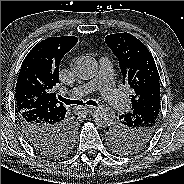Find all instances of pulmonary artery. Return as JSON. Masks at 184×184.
<instances>
[{"mask_svg":"<svg viewBox=\"0 0 184 184\" xmlns=\"http://www.w3.org/2000/svg\"><path fill=\"white\" fill-rule=\"evenodd\" d=\"M113 71V63L107 58L101 59L98 75L93 80L73 88L69 95L78 98L89 94L95 89H99L114 111H127L129 102L123 92L116 88L113 82Z\"/></svg>","mask_w":184,"mask_h":184,"instance_id":"pulmonary-artery-1","label":"pulmonary artery"}]
</instances>
